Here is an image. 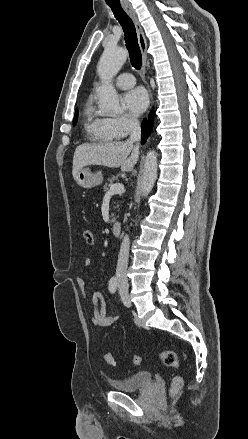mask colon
Wrapping results in <instances>:
<instances>
[{
	"instance_id": "obj_1",
	"label": "colon",
	"mask_w": 248,
	"mask_h": 439,
	"mask_svg": "<svg viewBox=\"0 0 248 439\" xmlns=\"http://www.w3.org/2000/svg\"><path fill=\"white\" fill-rule=\"evenodd\" d=\"M83 237L85 242L92 246L96 243V237L95 234L91 230H84ZM159 359L161 362L169 367V368H178L179 367V358L177 354L173 351H162L159 353ZM104 360L109 365H115V358L114 356L107 352L104 354ZM142 361V358L138 355L133 356V363L135 365H139ZM182 379L181 377L177 376L172 380L171 387H170V395L172 397H176L181 389H182Z\"/></svg>"
}]
</instances>
